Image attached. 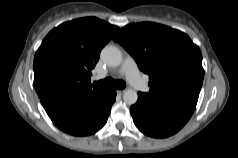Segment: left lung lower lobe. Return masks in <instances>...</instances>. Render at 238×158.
<instances>
[{
    "instance_id": "obj_1",
    "label": "left lung lower lobe",
    "mask_w": 238,
    "mask_h": 158,
    "mask_svg": "<svg viewBox=\"0 0 238 158\" xmlns=\"http://www.w3.org/2000/svg\"><path fill=\"white\" fill-rule=\"evenodd\" d=\"M199 93L189 92L155 98L138 92V101L130 107L136 127L144 134L164 138L178 132L190 119Z\"/></svg>"
}]
</instances>
